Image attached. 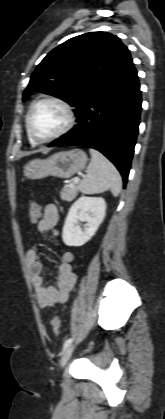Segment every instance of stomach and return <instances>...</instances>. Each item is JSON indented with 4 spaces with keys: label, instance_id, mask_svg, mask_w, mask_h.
Instances as JSON below:
<instances>
[{
    "label": "stomach",
    "instance_id": "obj_1",
    "mask_svg": "<svg viewBox=\"0 0 165 419\" xmlns=\"http://www.w3.org/2000/svg\"><path fill=\"white\" fill-rule=\"evenodd\" d=\"M87 155L81 149H73L53 154L47 159H34L24 167V176L29 179H42L47 176L70 178L83 170Z\"/></svg>",
    "mask_w": 165,
    "mask_h": 419
}]
</instances>
